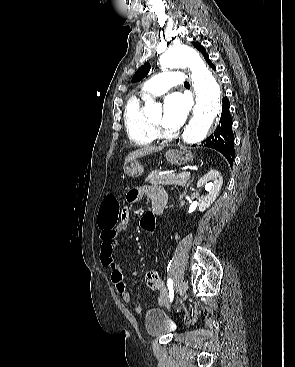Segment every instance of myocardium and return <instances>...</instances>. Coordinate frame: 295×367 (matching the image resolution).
Listing matches in <instances>:
<instances>
[{"mask_svg": "<svg viewBox=\"0 0 295 367\" xmlns=\"http://www.w3.org/2000/svg\"><path fill=\"white\" fill-rule=\"evenodd\" d=\"M149 122V125L151 126V128L153 129V131L156 133V134H160L161 133V127L159 124H155L153 122H151L150 120H148Z\"/></svg>", "mask_w": 295, "mask_h": 367, "instance_id": "obj_1", "label": "myocardium"}]
</instances>
